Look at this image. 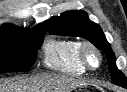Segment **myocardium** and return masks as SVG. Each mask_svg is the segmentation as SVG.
<instances>
[{
  "instance_id": "f54148a6",
  "label": "myocardium",
  "mask_w": 127,
  "mask_h": 92,
  "mask_svg": "<svg viewBox=\"0 0 127 92\" xmlns=\"http://www.w3.org/2000/svg\"><path fill=\"white\" fill-rule=\"evenodd\" d=\"M79 60L80 63L87 69V70H96L98 69L101 64L103 63V56L101 51L92 43L90 42H83L79 46ZM90 55H95L98 59L96 65H92L90 63Z\"/></svg>"
}]
</instances>
